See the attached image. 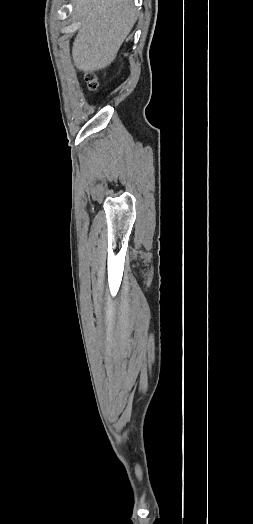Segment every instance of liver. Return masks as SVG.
<instances>
[{
    "label": "liver",
    "instance_id": "liver-1",
    "mask_svg": "<svg viewBox=\"0 0 253 524\" xmlns=\"http://www.w3.org/2000/svg\"><path fill=\"white\" fill-rule=\"evenodd\" d=\"M74 12L81 23L72 47L74 65L84 72L107 67L137 19L132 0H76Z\"/></svg>",
    "mask_w": 253,
    "mask_h": 524
}]
</instances>
